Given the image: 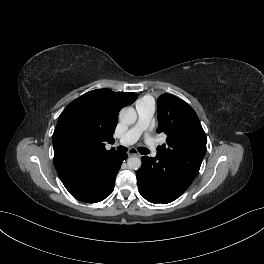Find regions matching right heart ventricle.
<instances>
[{
	"label": "right heart ventricle",
	"mask_w": 264,
	"mask_h": 264,
	"mask_svg": "<svg viewBox=\"0 0 264 264\" xmlns=\"http://www.w3.org/2000/svg\"><path fill=\"white\" fill-rule=\"evenodd\" d=\"M139 102H152V100L149 97H145V98L141 99Z\"/></svg>",
	"instance_id": "1"
}]
</instances>
